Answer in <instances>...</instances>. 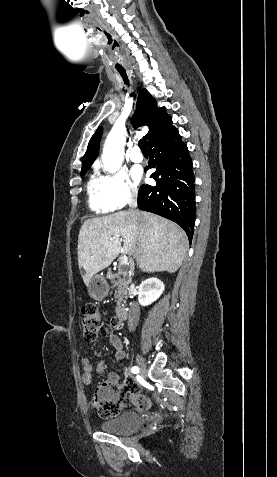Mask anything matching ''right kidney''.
Segmentation results:
<instances>
[{
    "label": "right kidney",
    "instance_id": "right-kidney-1",
    "mask_svg": "<svg viewBox=\"0 0 277 477\" xmlns=\"http://www.w3.org/2000/svg\"><path fill=\"white\" fill-rule=\"evenodd\" d=\"M164 291V283L158 278H148L141 283L138 289L140 305L147 306L156 301Z\"/></svg>",
    "mask_w": 277,
    "mask_h": 477
}]
</instances>
